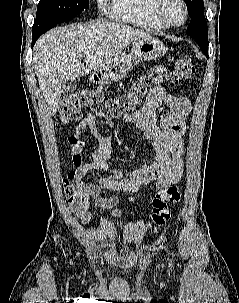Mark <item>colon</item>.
<instances>
[{
	"mask_svg": "<svg viewBox=\"0 0 239 303\" xmlns=\"http://www.w3.org/2000/svg\"><path fill=\"white\" fill-rule=\"evenodd\" d=\"M195 75V67L187 56L175 61L170 80L180 83ZM146 94V80L139 79L131 84L128 90L115 98H110L96 90H80L64 96L59 105V117L63 122H72L80 118L84 111H90L104 120H115L132 115L141 104ZM81 179L70 172L64 179V193L68 202H73ZM181 193L176 186L156 192L152 200V222L157 226L164 225L171 216L169 204H178Z\"/></svg>",
	"mask_w": 239,
	"mask_h": 303,
	"instance_id": "colon-1",
	"label": "colon"
}]
</instances>
